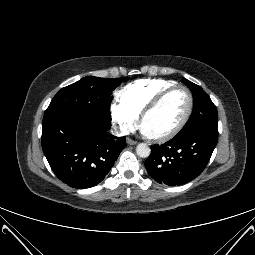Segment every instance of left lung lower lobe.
<instances>
[{
    "instance_id": "left-lung-lower-lobe-1",
    "label": "left lung lower lobe",
    "mask_w": 255,
    "mask_h": 255,
    "mask_svg": "<svg viewBox=\"0 0 255 255\" xmlns=\"http://www.w3.org/2000/svg\"><path fill=\"white\" fill-rule=\"evenodd\" d=\"M217 141L218 133L211 131L176 135L161 146H151L145 167L160 184L187 183L205 169Z\"/></svg>"
}]
</instances>
